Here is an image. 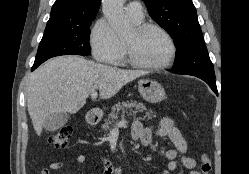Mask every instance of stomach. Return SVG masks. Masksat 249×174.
Segmentation results:
<instances>
[{"label": "stomach", "mask_w": 249, "mask_h": 174, "mask_svg": "<svg viewBox=\"0 0 249 174\" xmlns=\"http://www.w3.org/2000/svg\"><path fill=\"white\" fill-rule=\"evenodd\" d=\"M140 95L150 103H158L166 98L164 88L156 81L143 79L138 83Z\"/></svg>", "instance_id": "obj_1"}]
</instances>
